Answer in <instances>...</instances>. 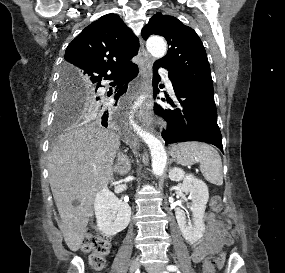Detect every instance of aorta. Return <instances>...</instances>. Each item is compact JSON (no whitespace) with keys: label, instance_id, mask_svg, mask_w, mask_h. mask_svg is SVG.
<instances>
[{"label":"aorta","instance_id":"obj_1","mask_svg":"<svg viewBox=\"0 0 285 273\" xmlns=\"http://www.w3.org/2000/svg\"><path fill=\"white\" fill-rule=\"evenodd\" d=\"M146 47L148 52L155 58H161L166 54V42L161 37H150L147 40ZM146 96L142 95L135 103V108L139 106ZM132 126L136 133L143 139L150 149L152 157V171L154 175L161 176L167 163V155L162 142L154 135L144 131L141 127L132 122Z\"/></svg>","mask_w":285,"mask_h":273}]
</instances>
